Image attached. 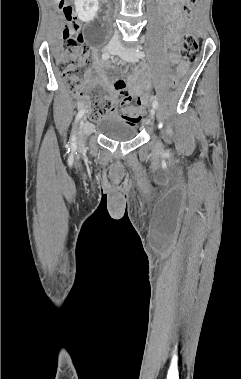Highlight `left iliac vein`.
<instances>
[{"instance_id": "1", "label": "left iliac vein", "mask_w": 241, "mask_h": 379, "mask_svg": "<svg viewBox=\"0 0 241 379\" xmlns=\"http://www.w3.org/2000/svg\"><path fill=\"white\" fill-rule=\"evenodd\" d=\"M119 57L124 59L125 61L128 62H136L138 60V57L136 55V52L133 49H125V48H120L117 53ZM155 116V108L153 107L150 110V117L153 119ZM146 124H149V121L146 122Z\"/></svg>"}]
</instances>
